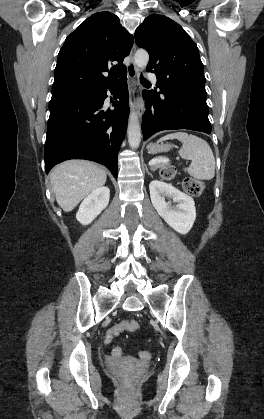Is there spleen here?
<instances>
[{
  "mask_svg": "<svg viewBox=\"0 0 264 419\" xmlns=\"http://www.w3.org/2000/svg\"><path fill=\"white\" fill-rule=\"evenodd\" d=\"M178 139L182 142L179 155L191 164L184 170L199 180H210L215 175V158L209 144L202 138L186 132H175L164 136L160 141Z\"/></svg>",
  "mask_w": 264,
  "mask_h": 419,
  "instance_id": "1",
  "label": "spleen"
}]
</instances>
